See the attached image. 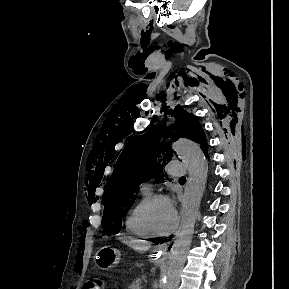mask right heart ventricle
Listing matches in <instances>:
<instances>
[{
  "mask_svg": "<svg viewBox=\"0 0 289 289\" xmlns=\"http://www.w3.org/2000/svg\"><path fill=\"white\" fill-rule=\"evenodd\" d=\"M151 196L150 192L141 191L139 199L128 211L125 217V229L131 235L139 238H151L152 236L146 231L140 220V214L146 200Z\"/></svg>",
  "mask_w": 289,
  "mask_h": 289,
  "instance_id": "obj_1",
  "label": "right heart ventricle"
}]
</instances>
